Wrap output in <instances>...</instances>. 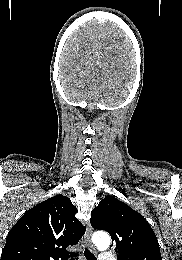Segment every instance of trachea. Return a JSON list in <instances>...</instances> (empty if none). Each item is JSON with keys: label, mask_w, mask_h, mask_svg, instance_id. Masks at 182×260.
I'll use <instances>...</instances> for the list:
<instances>
[{"label": "trachea", "mask_w": 182, "mask_h": 260, "mask_svg": "<svg viewBox=\"0 0 182 260\" xmlns=\"http://www.w3.org/2000/svg\"><path fill=\"white\" fill-rule=\"evenodd\" d=\"M84 255L87 260H97L96 257L88 249H85ZM71 260H74V259H71Z\"/></svg>", "instance_id": "obj_1"}]
</instances>
